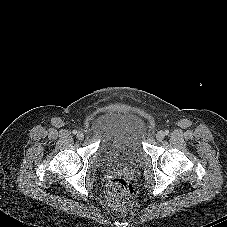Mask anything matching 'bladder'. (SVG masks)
Masks as SVG:
<instances>
[{"label":"bladder","mask_w":227,"mask_h":227,"mask_svg":"<svg viewBox=\"0 0 227 227\" xmlns=\"http://www.w3.org/2000/svg\"><path fill=\"white\" fill-rule=\"evenodd\" d=\"M89 128L99 137V156L104 168L129 167L141 161L144 119L138 113L109 109L96 115Z\"/></svg>","instance_id":"obj_1"}]
</instances>
